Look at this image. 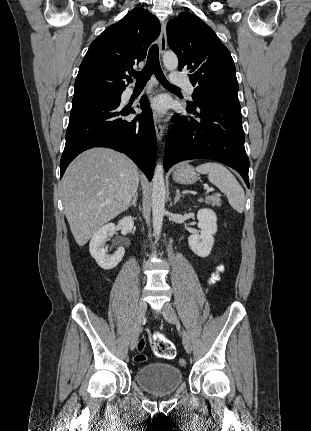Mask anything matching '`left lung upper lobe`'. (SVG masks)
<instances>
[{
	"label": "left lung upper lobe",
	"instance_id": "left-lung-upper-lobe-1",
	"mask_svg": "<svg viewBox=\"0 0 311 431\" xmlns=\"http://www.w3.org/2000/svg\"><path fill=\"white\" fill-rule=\"evenodd\" d=\"M170 48L177 54L179 70H189L195 86L192 106L212 96L238 97L239 86L232 56L215 32L200 18L180 13L167 24Z\"/></svg>",
	"mask_w": 311,
	"mask_h": 431
}]
</instances>
